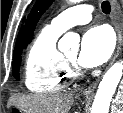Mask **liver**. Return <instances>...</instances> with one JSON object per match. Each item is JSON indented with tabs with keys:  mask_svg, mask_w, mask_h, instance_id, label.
Returning <instances> with one entry per match:
<instances>
[{
	"mask_svg": "<svg viewBox=\"0 0 123 113\" xmlns=\"http://www.w3.org/2000/svg\"><path fill=\"white\" fill-rule=\"evenodd\" d=\"M71 93L55 95H19L11 99L25 113H68L73 104Z\"/></svg>",
	"mask_w": 123,
	"mask_h": 113,
	"instance_id": "liver-1",
	"label": "liver"
}]
</instances>
